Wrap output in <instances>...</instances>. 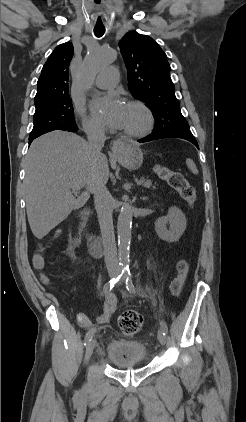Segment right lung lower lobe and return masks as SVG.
Here are the masks:
<instances>
[{
	"label": "right lung lower lobe",
	"instance_id": "1",
	"mask_svg": "<svg viewBox=\"0 0 246 422\" xmlns=\"http://www.w3.org/2000/svg\"><path fill=\"white\" fill-rule=\"evenodd\" d=\"M66 131H69V132H77L78 131V128H77V126L75 127V128H73V129H69V130H66ZM34 139H29V144H31V142L33 141Z\"/></svg>",
	"mask_w": 246,
	"mask_h": 422
}]
</instances>
